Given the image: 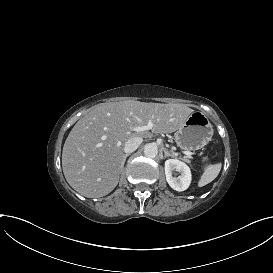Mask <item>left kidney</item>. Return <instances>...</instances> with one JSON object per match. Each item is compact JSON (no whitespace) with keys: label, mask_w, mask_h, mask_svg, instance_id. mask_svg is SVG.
<instances>
[{"label":"left kidney","mask_w":273,"mask_h":273,"mask_svg":"<svg viewBox=\"0 0 273 273\" xmlns=\"http://www.w3.org/2000/svg\"><path fill=\"white\" fill-rule=\"evenodd\" d=\"M180 172V176L175 178L172 172ZM165 175L170 187L176 191L186 190L191 183V171L188 165L178 159H168L165 161Z\"/></svg>","instance_id":"left-kidney-1"}]
</instances>
